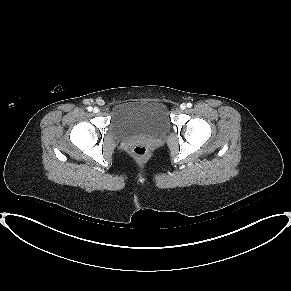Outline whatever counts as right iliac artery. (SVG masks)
<instances>
[{
	"label": "right iliac artery",
	"mask_w": 291,
	"mask_h": 291,
	"mask_svg": "<svg viewBox=\"0 0 291 291\" xmlns=\"http://www.w3.org/2000/svg\"><path fill=\"white\" fill-rule=\"evenodd\" d=\"M92 109H93V108H92L91 106L87 107V110H88V111H92Z\"/></svg>",
	"instance_id": "82829eb1"
}]
</instances>
